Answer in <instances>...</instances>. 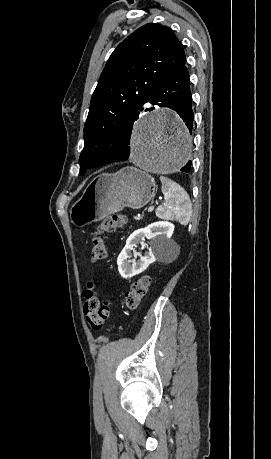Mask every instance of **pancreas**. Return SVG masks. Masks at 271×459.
<instances>
[{"mask_svg": "<svg viewBox=\"0 0 271 459\" xmlns=\"http://www.w3.org/2000/svg\"><path fill=\"white\" fill-rule=\"evenodd\" d=\"M135 220H141V218H135Z\"/></svg>", "mask_w": 271, "mask_h": 459, "instance_id": "pancreas-1", "label": "pancreas"}]
</instances>
